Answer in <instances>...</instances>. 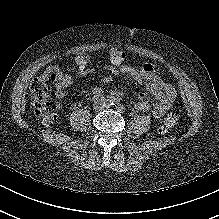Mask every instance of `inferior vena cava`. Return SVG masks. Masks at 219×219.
Returning a JSON list of instances; mask_svg holds the SVG:
<instances>
[{
    "mask_svg": "<svg viewBox=\"0 0 219 219\" xmlns=\"http://www.w3.org/2000/svg\"><path fill=\"white\" fill-rule=\"evenodd\" d=\"M108 107H109V105H107L106 103L102 104V108H108Z\"/></svg>",
    "mask_w": 219,
    "mask_h": 219,
    "instance_id": "obj_1",
    "label": "inferior vena cava"
}]
</instances>
